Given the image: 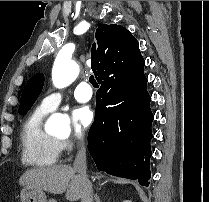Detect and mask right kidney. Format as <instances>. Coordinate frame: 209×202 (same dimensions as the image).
<instances>
[{"instance_id":"ca27d5eb","label":"right kidney","mask_w":209,"mask_h":202,"mask_svg":"<svg viewBox=\"0 0 209 202\" xmlns=\"http://www.w3.org/2000/svg\"><path fill=\"white\" fill-rule=\"evenodd\" d=\"M124 202H131L130 200H125Z\"/></svg>"}]
</instances>
